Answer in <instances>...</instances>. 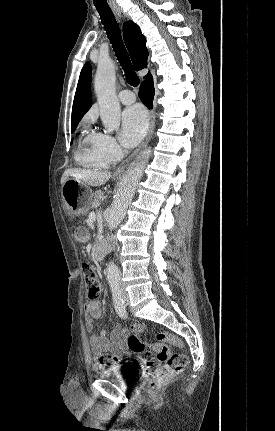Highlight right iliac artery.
Returning a JSON list of instances; mask_svg holds the SVG:
<instances>
[{"label":"right iliac artery","mask_w":275,"mask_h":431,"mask_svg":"<svg viewBox=\"0 0 275 431\" xmlns=\"http://www.w3.org/2000/svg\"><path fill=\"white\" fill-rule=\"evenodd\" d=\"M111 290H112L114 307H115V310H116L117 314L121 318H126L127 317V312H126V309H125L124 301H123V299L121 297V288H120V285L118 283L112 284L111 285Z\"/></svg>","instance_id":"82829eb1"}]
</instances>
